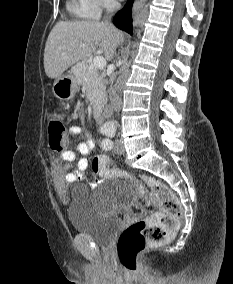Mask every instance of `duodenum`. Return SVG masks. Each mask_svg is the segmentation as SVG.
<instances>
[{
	"instance_id": "duodenum-1",
	"label": "duodenum",
	"mask_w": 233,
	"mask_h": 284,
	"mask_svg": "<svg viewBox=\"0 0 233 284\" xmlns=\"http://www.w3.org/2000/svg\"><path fill=\"white\" fill-rule=\"evenodd\" d=\"M93 116L95 120L99 123H103V106L102 105H95L93 107ZM105 128H101V130H104Z\"/></svg>"
}]
</instances>
